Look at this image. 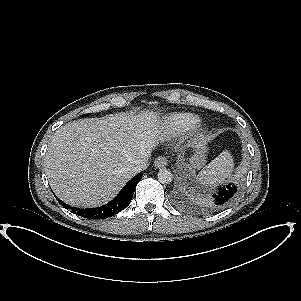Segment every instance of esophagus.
Returning <instances> with one entry per match:
<instances>
[{
	"label": "esophagus",
	"instance_id": "34e87169",
	"mask_svg": "<svg viewBox=\"0 0 301 301\" xmlns=\"http://www.w3.org/2000/svg\"><path fill=\"white\" fill-rule=\"evenodd\" d=\"M154 165L158 169L164 168L168 165V160L164 156H158L154 161Z\"/></svg>",
	"mask_w": 301,
	"mask_h": 301
}]
</instances>
